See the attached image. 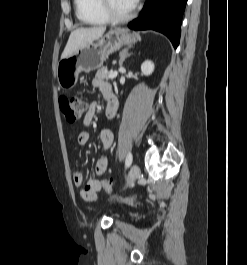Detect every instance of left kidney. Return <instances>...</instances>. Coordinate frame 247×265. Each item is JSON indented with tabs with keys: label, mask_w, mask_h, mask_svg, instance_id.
Segmentation results:
<instances>
[{
	"label": "left kidney",
	"mask_w": 247,
	"mask_h": 265,
	"mask_svg": "<svg viewBox=\"0 0 247 265\" xmlns=\"http://www.w3.org/2000/svg\"><path fill=\"white\" fill-rule=\"evenodd\" d=\"M141 71L143 75H150L152 74V72L154 71V64L152 61H145L142 65H141Z\"/></svg>",
	"instance_id": "obj_1"
}]
</instances>
